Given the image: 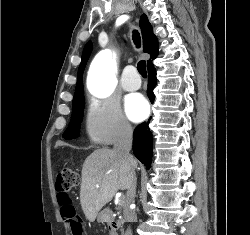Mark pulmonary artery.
<instances>
[{"label": "pulmonary artery", "instance_id": "e3ab8cb5", "mask_svg": "<svg viewBox=\"0 0 250 235\" xmlns=\"http://www.w3.org/2000/svg\"><path fill=\"white\" fill-rule=\"evenodd\" d=\"M121 85L126 91H135L140 87L141 79L136 74L133 66H128L123 71Z\"/></svg>", "mask_w": 250, "mask_h": 235}]
</instances>
